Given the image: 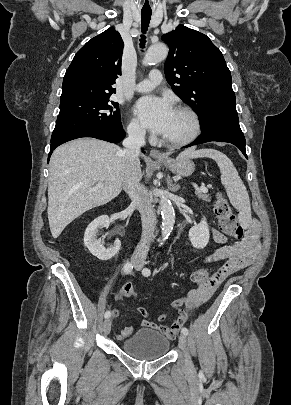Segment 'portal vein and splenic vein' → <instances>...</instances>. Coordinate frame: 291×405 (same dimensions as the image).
Wrapping results in <instances>:
<instances>
[{
	"instance_id": "1",
	"label": "portal vein and splenic vein",
	"mask_w": 291,
	"mask_h": 405,
	"mask_svg": "<svg viewBox=\"0 0 291 405\" xmlns=\"http://www.w3.org/2000/svg\"><path fill=\"white\" fill-rule=\"evenodd\" d=\"M102 186H103V183H101V182L96 185L97 188L102 187ZM199 191H200V192H203V193H207V192H208V189H207V187H205V186H201V187L199 188Z\"/></svg>"
}]
</instances>
